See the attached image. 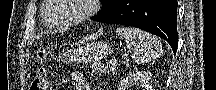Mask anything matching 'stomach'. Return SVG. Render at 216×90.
<instances>
[{"label":"stomach","mask_w":216,"mask_h":90,"mask_svg":"<svg viewBox=\"0 0 216 90\" xmlns=\"http://www.w3.org/2000/svg\"><path fill=\"white\" fill-rule=\"evenodd\" d=\"M111 53V48L105 43H91L79 47L68 54L71 62L93 63L105 59Z\"/></svg>","instance_id":"1"}]
</instances>
